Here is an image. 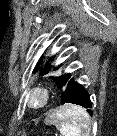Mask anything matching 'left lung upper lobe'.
Wrapping results in <instances>:
<instances>
[{
    "label": "left lung upper lobe",
    "mask_w": 117,
    "mask_h": 136,
    "mask_svg": "<svg viewBox=\"0 0 117 136\" xmlns=\"http://www.w3.org/2000/svg\"><path fill=\"white\" fill-rule=\"evenodd\" d=\"M50 61H53V57H50V59L46 62V64L44 65L43 68H41L40 71V75H45L48 74L50 71H56L58 70L63 64L61 63L58 66H52L50 64ZM40 64V61L38 62V64L36 65L34 71H36V69L38 68V65ZM72 76V73L69 72H64L62 75L60 76H51V78L55 81V83L57 84V86L60 89H64L65 85L67 84L68 80L70 79V77Z\"/></svg>",
    "instance_id": "left-lung-upper-lobe-1"
}]
</instances>
